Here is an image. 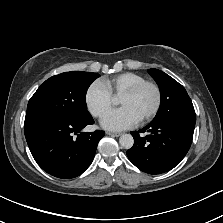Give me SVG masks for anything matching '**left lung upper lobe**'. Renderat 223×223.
<instances>
[{"label":"left lung upper lobe","mask_w":223,"mask_h":223,"mask_svg":"<svg viewBox=\"0 0 223 223\" xmlns=\"http://www.w3.org/2000/svg\"><path fill=\"white\" fill-rule=\"evenodd\" d=\"M148 73L156 81L161 92L160 108L152 122L178 120L196 123L195 110L185 88L158 69H149Z\"/></svg>","instance_id":"left-lung-upper-lobe-1"}]
</instances>
